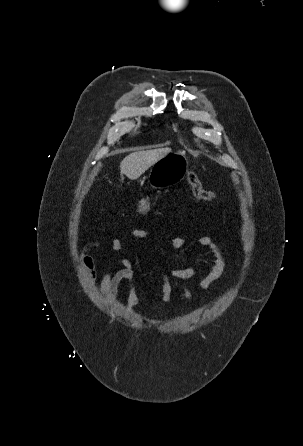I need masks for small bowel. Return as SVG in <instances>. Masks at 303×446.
<instances>
[{"label": "small bowel", "instance_id": "small-bowel-1", "mask_svg": "<svg viewBox=\"0 0 303 446\" xmlns=\"http://www.w3.org/2000/svg\"><path fill=\"white\" fill-rule=\"evenodd\" d=\"M154 233L146 229H133L129 236L136 241H142L151 237ZM100 240H92L88 242L81 251V264L88 278L89 283L93 284L96 280L95 262L91 252L99 247ZM137 244L121 239L112 241V249L114 251H123L125 249L135 247ZM185 246V239L175 237L171 241V249L174 252L181 251ZM198 251L209 249L215 255V263L208 274L201 280L200 286L209 290L214 283L218 281L226 267V257L221 246H219L211 237L202 236L197 241ZM196 268L188 266L180 268L173 266L169 270H160L162 301L167 304L170 301L174 284L179 286L188 301L192 299V292L185 284V281L192 278ZM128 283V295L126 299V311L130 314L134 312L135 307L139 303V297L134 285V268L133 263L129 259L121 258L114 263V268L108 271L102 278L100 283V291L103 297L109 302H114L117 296L119 286L122 282Z\"/></svg>", "mask_w": 303, "mask_h": 446}]
</instances>
